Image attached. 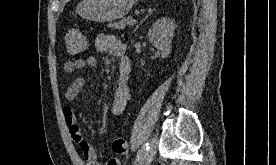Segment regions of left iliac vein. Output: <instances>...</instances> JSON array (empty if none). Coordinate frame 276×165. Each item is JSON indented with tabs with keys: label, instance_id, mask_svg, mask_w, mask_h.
Wrapping results in <instances>:
<instances>
[{
	"label": "left iliac vein",
	"instance_id": "obj_1",
	"mask_svg": "<svg viewBox=\"0 0 276 165\" xmlns=\"http://www.w3.org/2000/svg\"><path fill=\"white\" fill-rule=\"evenodd\" d=\"M157 141L155 138L150 139L148 150L145 152L143 159L138 165H150L156 155Z\"/></svg>",
	"mask_w": 276,
	"mask_h": 165
}]
</instances>
